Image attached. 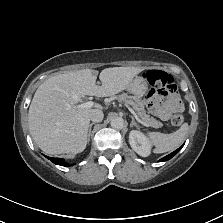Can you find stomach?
I'll return each mask as SVG.
<instances>
[{"label":"stomach","mask_w":223,"mask_h":223,"mask_svg":"<svg viewBox=\"0 0 223 223\" xmlns=\"http://www.w3.org/2000/svg\"><path fill=\"white\" fill-rule=\"evenodd\" d=\"M155 69H148L144 71L141 76H137L129 85L128 90L133 94H139L143 96L148 90V72L154 71Z\"/></svg>","instance_id":"0dacf381"}]
</instances>
